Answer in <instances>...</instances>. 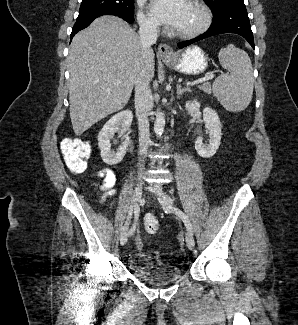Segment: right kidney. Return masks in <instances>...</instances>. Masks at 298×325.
<instances>
[{
	"label": "right kidney",
	"instance_id": "obj_1",
	"mask_svg": "<svg viewBox=\"0 0 298 325\" xmlns=\"http://www.w3.org/2000/svg\"><path fill=\"white\" fill-rule=\"evenodd\" d=\"M133 120L132 110H120L114 116H111L107 122H105L103 128H101L98 134V146L100 148V154L102 160L106 165H117L120 160L124 158L128 146L130 144V136L128 134ZM115 132H118L119 136L125 138L124 142H121L116 152L111 150V138H113Z\"/></svg>",
	"mask_w": 298,
	"mask_h": 325
}]
</instances>
